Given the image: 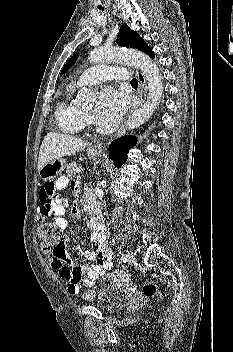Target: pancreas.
Segmentation results:
<instances>
[{"label":"pancreas","instance_id":"cf45deb5","mask_svg":"<svg viewBox=\"0 0 233 352\" xmlns=\"http://www.w3.org/2000/svg\"><path fill=\"white\" fill-rule=\"evenodd\" d=\"M76 168H77V165L75 162H72L67 166L66 173L69 178L72 179L76 177Z\"/></svg>","mask_w":233,"mask_h":352}]
</instances>
